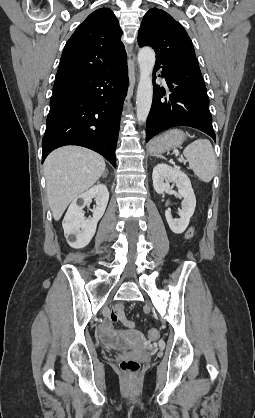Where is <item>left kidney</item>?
Segmentation results:
<instances>
[{
	"mask_svg": "<svg viewBox=\"0 0 255 418\" xmlns=\"http://www.w3.org/2000/svg\"><path fill=\"white\" fill-rule=\"evenodd\" d=\"M152 179L154 189L158 194L164 193L169 188L171 182L176 184L178 193L183 197L182 210L179 213L180 218L174 219L170 210L165 211V217L172 232L176 234L183 233L189 225L196 206V198L190 179L179 168H173L164 163L154 167Z\"/></svg>",
	"mask_w": 255,
	"mask_h": 418,
	"instance_id": "1",
	"label": "left kidney"
}]
</instances>
